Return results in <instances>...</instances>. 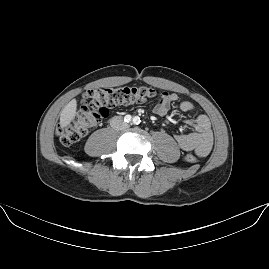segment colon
<instances>
[{"instance_id":"5ec220e1","label":"colon","mask_w":269,"mask_h":269,"mask_svg":"<svg viewBox=\"0 0 269 269\" xmlns=\"http://www.w3.org/2000/svg\"><path fill=\"white\" fill-rule=\"evenodd\" d=\"M84 105L67 126H58L57 136L61 143L72 145L77 143L89 131L95 129L102 117L110 108L135 102L149 100L156 96V91L149 86L119 85L109 88H86L83 93ZM187 162L199 161V156L187 153Z\"/></svg>"}]
</instances>
